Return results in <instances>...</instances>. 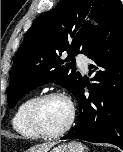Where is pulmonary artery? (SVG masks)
Wrapping results in <instances>:
<instances>
[{"instance_id": "pulmonary-artery-1", "label": "pulmonary artery", "mask_w": 123, "mask_h": 152, "mask_svg": "<svg viewBox=\"0 0 123 152\" xmlns=\"http://www.w3.org/2000/svg\"><path fill=\"white\" fill-rule=\"evenodd\" d=\"M77 64L79 65V67L86 72L87 71V67H88V62L87 59L84 56H78L76 58Z\"/></svg>"}]
</instances>
